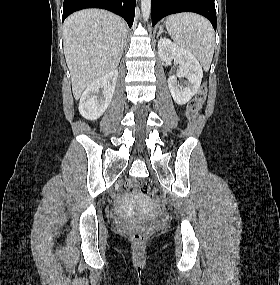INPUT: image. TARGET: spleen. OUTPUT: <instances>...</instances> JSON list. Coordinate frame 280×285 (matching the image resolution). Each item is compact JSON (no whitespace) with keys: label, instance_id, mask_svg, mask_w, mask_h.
Wrapping results in <instances>:
<instances>
[{"label":"spleen","instance_id":"1","mask_svg":"<svg viewBox=\"0 0 280 285\" xmlns=\"http://www.w3.org/2000/svg\"><path fill=\"white\" fill-rule=\"evenodd\" d=\"M165 25L175 43L209 70L215 46V33L209 21L193 13H180L169 16Z\"/></svg>","mask_w":280,"mask_h":285}]
</instances>
